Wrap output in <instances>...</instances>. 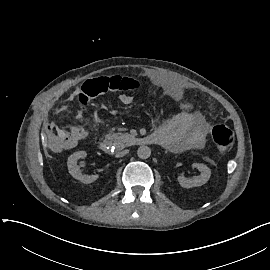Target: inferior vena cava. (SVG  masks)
Here are the masks:
<instances>
[{
	"label": "inferior vena cava",
	"mask_w": 270,
	"mask_h": 270,
	"mask_svg": "<svg viewBox=\"0 0 270 270\" xmlns=\"http://www.w3.org/2000/svg\"><path fill=\"white\" fill-rule=\"evenodd\" d=\"M128 152H129V150H123V151H121V152H118V153L116 154V157H123V156H125Z\"/></svg>",
	"instance_id": "obj_1"
}]
</instances>
